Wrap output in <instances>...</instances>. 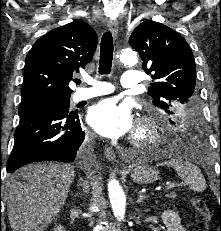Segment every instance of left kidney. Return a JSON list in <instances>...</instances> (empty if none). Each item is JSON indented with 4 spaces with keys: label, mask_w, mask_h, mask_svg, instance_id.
<instances>
[{
    "label": "left kidney",
    "mask_w": 221,
    "mask_h": 231,
    "mask_svg": "<svg viewBox=\"0 0 221 231\" xmlns=\"http://www.w3.org/2000/svg\"><path fill=\"white\" fill-rule=\"evenodd\" d=\"M162 221L167 228V231H185L181 225V219L177 212L165 210L161 215Z\"/></svg>",
    "instance_id": "left-kidney-1"
}]
</instances>
